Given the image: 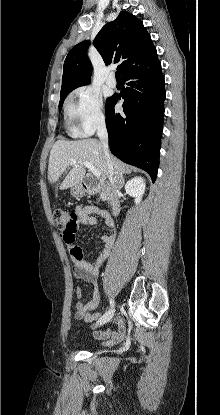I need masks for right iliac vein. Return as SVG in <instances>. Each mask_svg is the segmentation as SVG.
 Instances as JSON below:
<instances>
[{
    "instance_id": "63e3f726",
    "label": "right iliac vein",
    "mask_w": 220,
    "mask_h": 415,
    "mask_svg": "<svg viewBox=\"0 0 220 415\" xmlns=\"http://www.w3.org/2000/svg\"><path fill=\"white\" fill-rule=\"evenodd\" d=\"M114 312H115V308L113 307V308H111L108 312H106L97 322H96V326H101V325H103V324H105V323H107V322H109L111 319H112V317H113V315H114Z\"/></svg>"
}]
</instances>
